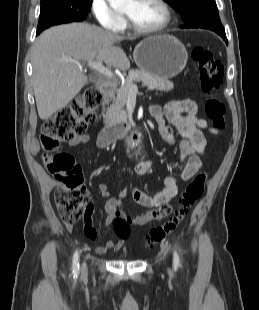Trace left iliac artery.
I'll list each match as a JSON object with an SVG mask.
<instances>
[{
  "mask_svg": "<svg viewBox=\"0 0 259 310\" xmlns=\"http://www.w3.org/2000/svg\"><path fill=\"white\" fill-rule=\"evenodd\" d=\"M173 265L175 269H177L180 266L179 255L177 254L175 250H174V257H173Z\"/></svg>",
  "mask_w": 259,
  "mask_h": 310,
  "instance_id": "obj_1",
  "label": "left iliac artery"
}]
</instances>
